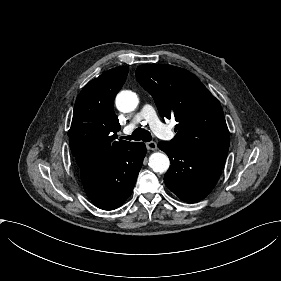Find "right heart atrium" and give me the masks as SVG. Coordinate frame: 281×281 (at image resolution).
<instances>
[{"label": "right heart atrium", "instance_id": "obj_1", "mask_svg": "<svg viewBox=\"0 0 281 281\" xmlns=\"http://www.w3.org/2000/svg\"><path fill=\"white\" fill-rule=\"evenodd\" d=\"M120 102L121 104L128 106V95L124 92L121 91L117 94L116 96V104Z\"/></svg>", "mask_w": 281, "mask_h": 281}]
</instances>
